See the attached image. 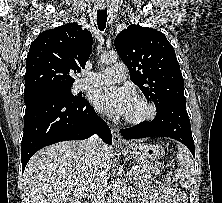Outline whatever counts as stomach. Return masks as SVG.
I'll use <instances>...</instances> for the list:
<instances>
[{
	"mask_svg": "<svg viewBox=\"0 0 222 203\" xmlns=\"http://www.w3.org/2000/svg\"><path fill=\"white\" fill-rule=\"evenodd\" d=\"M122 151L125 155L140 161H153L165 154V150L161 145L143 142L129 144L127 147L122 148Z\"/></svg>",
	"mask_w": 222,
	"mask_h": 203,
	"instance_id": "obj_1",
	"label": "stomach"
}]
</instances>
